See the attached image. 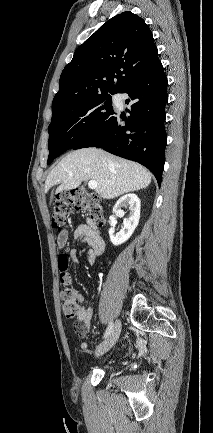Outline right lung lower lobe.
I'll return each instance as SVG.
<instances>
[{"label": "right lung lower lobe", "instance_id": "right-lung-lower-lobe-1", "mask_svg": "<svg viewBox=\"0 0 213 433\" xmlns=\"http://www.w3.org/2000/svg\"><path fill=\"white\" fill-rule=\"evenodd\" d=\"M167 85L163 66L157 58L121 92L131 98L126 100L131 107L130 116L115 113L102 129L71 149L99 147L136 161L147 167L160 185L167 145L164 129Z\"/></svg>", "mask_w": 213, "mask_h": 433}]
</instances>
